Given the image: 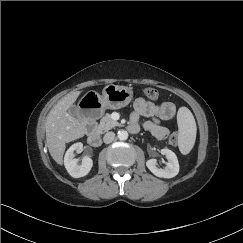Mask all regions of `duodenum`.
Here are the masks:
<instances>
[{"label": "duodenum", "instance_id": "obj_1", "mask_svg": "<svg viewBox=\"0 0 243 243\" xmlns=\"http://www.w3.org/2000/svg\"><path fill=\"white\" fill-rule=\"evenodd\" d=\"M86 129H87V141L88 143L93 147H98L101 145V137L96 131V125L93 122H87L86 123Z\"/></svg>", "mask_w": 243, "mask_h": 243}]
</instances>
